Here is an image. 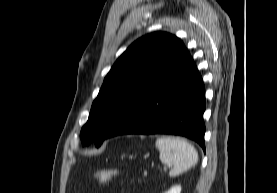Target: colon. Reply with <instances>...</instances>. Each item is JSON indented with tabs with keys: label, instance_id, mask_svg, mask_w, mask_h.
<instances>
[{
	"label": "colon",
	"instance_id": "colon-1",
	"mask_svg": "<svg viewBox=\"0 0 277 193\" xmlns=\"http://www.w3.org/2000/svg\"><path fill=\"white\" fill-rule=\"evenodd\" d=\"M119 175L117 170L113 169H103L98 170L94 173L93 177L99 182L108 183L115 180Z\"/></svg>",
	"mask_w": 277,
	"mask_h": 193
}]
</instances>
